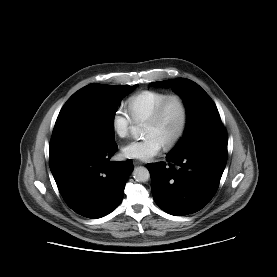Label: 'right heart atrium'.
<instances>
[{
  "label": "right heart atrium",
  "mask_w": 277,
  "mask_h": 277,
  "mask_svg": "<svg viewBox=\"0 0 277 277\" xmlns=\"http://www.w3.org/2000/svg\"><path fill=\"white\" fill-rule=\"evenodd\" d=\"M111 125L114 133L124 138L128 136L133 125L132 117L122 108L117 109L112 115Z\"/></svg>",
  "instance_id": "d8ad5b80"
}]
</instances>
